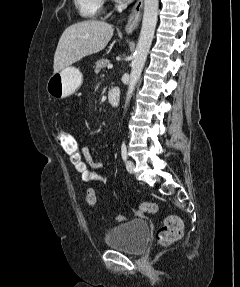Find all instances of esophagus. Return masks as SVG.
I'll return each instance as SVG.
<instances>
[{
	"instance_id": "1",
	"label": "esophagus",
	"mask_w": 240,
	"mask_h": 287,
	"mask_svg": "<svg viewBox=\"0 0 240 287\" xmlns=\"http://www.w3.org/2000/svg\"><path fill=\"white\" fill-rule=\"evenodd\" d=\"M143 4L144 0H137L133 6L131 15L125 27L127 33H132L133 30L138 26L142 16Z\"/></svg>"
}]
</instances>
